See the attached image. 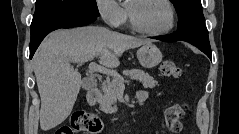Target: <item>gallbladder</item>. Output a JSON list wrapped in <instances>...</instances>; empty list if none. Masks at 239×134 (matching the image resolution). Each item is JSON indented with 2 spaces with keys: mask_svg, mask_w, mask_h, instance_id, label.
Here are the masks:
<instances>
[{
  "mask_svg": "<svg viewBox=\"0 0 239 134\" xmlns=\"http://www.w3.org/2000/svg\"><path fill=\"white\" fill-rule=\"evenodd\" d=\"M93 85H94V82H92V81L89 80V79H85V80L83 81V88L86 89V90L92 88Z\"/></svg>",
  "mask_w": 239,
  "mask_h": 134,
  "instance_id": "bac80fb5",
  "label": "gallbladder"
}]
</instances>
